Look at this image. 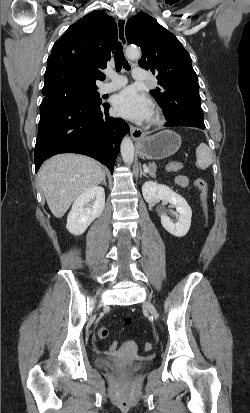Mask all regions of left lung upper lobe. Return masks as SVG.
I'll return each instance as SVG.
<instances>
[{
	"label": "left lung upper lobe",
	"mask_w": 250,
	"mask_h": 413,
	"mask_svg": "<svg viewBox=\"0 0 250 413\" xmlns=\"http://www.w3.org/2000/svg\"><path fill=\"white\" fill-rule=\"evenodd\" d=\"M127 41L142 49L139 66L157 75L158 87L151 90L160 106L173 102L175 95L198 93V78L191 57L181 42L153 17L140 13L125 27Z\"/></svg>",
	"instance_id": "left-lung-upper-lobe-1"
}]
</instances>
